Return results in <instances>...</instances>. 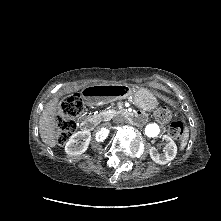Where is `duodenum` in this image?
<instances>
[{"label":"duodenum","mask_w":221,"mask_h":221,"mask_svg":"<svg viewBox=\"0 0 221 221\" xmlns=\"http://www.w3.org/2000/svg\"><path fill=\"white\" fill-rule=\"evenodd\" d=\"M88 100L93 103L109 102L115 99L116 96L125 94V88L122 86H105L97 87L90 86L84 91ZM126 117L134 122L140 123L143 120L141 112L130 111L126 113ZM94 120L91 117H84L80 120V126L83 131H90L92 129Z\"/></svg>","instance_id":"duodenum-1"}]
</instances>
